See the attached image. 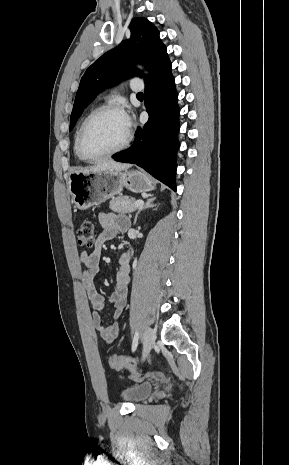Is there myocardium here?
<instances>
[{
	"instance_id": "f54148a6",
	"label": "myocardium",
	"mask_w": 289,
	"mask_h": 465,
	"mask_svg": "<svg viewBox=\"0 0 289 465\" xmlns=\"http://www.w3.org/2000/svg\"><path fill=\"white\" fill-rule=\"evenodd\" d=\"M107 112L121 113V110L118 107L113 106V105L100 106V107L94 109L92 112H90L86 116V118L83 120V122L81 124L80 130H79V135H78V141H77V149H78V153H79L80 157L84 161L96 162V161H99V160H101L103 158L113 156V155L123 151L124 149H126L129 146V144L131 143V141H132V132H131L130 128H128L127 136H126L124 142L120 146H118L117 148L112 149L110 151H107L105 153H102L100 155H96V156L89 155L85 151V137H86V133H87V130H88V127H89L90 123L99 114L107 113Z\"/></svg>"
}]
</instances>
